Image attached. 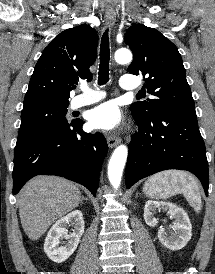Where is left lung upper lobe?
<instances>
[{
  "label": "left lung upper lobe",
  "instance_id": "5c2ea615",
  "mask_svg": "<svg viewBox=\"0 0 215 274\" xmlns=\"http://www.w3.org/2000/svg\"><path fill=\"white\" fill-rule=\"evenodd\" d=\"M134 58L128 71L145 78V92L155 99L133 103L132 114L174 113L197 119L186 71L177 47L158 30L132 25L125 34Z\"/></svg>",
  "mask_w": 215,
  "mask_h": 274
}]
</instances>
